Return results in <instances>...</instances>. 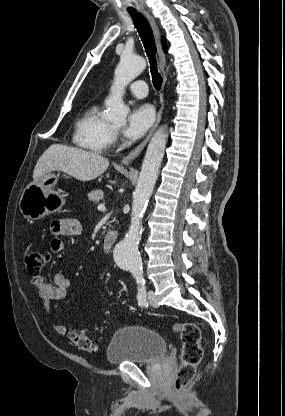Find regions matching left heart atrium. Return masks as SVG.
<instances>
[{"instance_id": "obj_1", "label": "left heart atrium", "mask_w": 285, "mask_h": 416, "mask_svg": "<svg viewBox=\"0 0 285 416\" xmlns=\"http://www.w3.org/2000/svg\"><path fill=\"white\" fill-rule=\"evenodd\" d=\"M154 118V112L149 105H137L129 113L127 123L123 129L125 137L137 140L142 137Z\"/></svg>"}]
</instances>
